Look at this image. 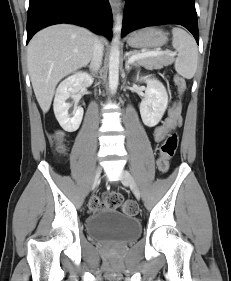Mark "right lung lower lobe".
<instances>
[{
  "label": "right lung lower lobe",
  "instance_id": "1",
  "mask_svg": "<svg viewBox=\"0 0 231 281\" xmlns=\"http://www.w3.org/2000/svg\"><path fill=\"white\" fill-rule=\"evenodd\" d=\"M70 23L112 38V12L108 0H30L27 43L40 29Z\"/></svg>",
  "mask_w": 231,
  "mask_h": 281
}]
</instances>
